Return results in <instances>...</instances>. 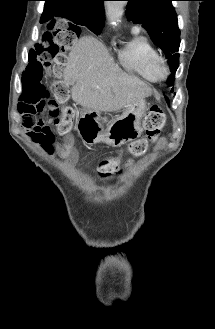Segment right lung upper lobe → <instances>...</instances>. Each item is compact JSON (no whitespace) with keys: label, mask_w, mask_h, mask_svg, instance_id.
Masks as SVG:
<instances>
[{"label":"right lung upper lobe","mask_w":215,"mask_h":329,"mask_svg":"<svg viewBox=\"0 0 215 329\" xmlns=\"http://www.w3.org/2000/svg\"><path fill=\"white\" fill-rule=\"evenodd\" d=\"M42 22H55L56 17L67 18L68 15H79L86 22L104 25L105 0H45ZM52 12V13H51ZM51 13V14H49Z\"/></svg>","instance_id":"1"}]
</instances>
